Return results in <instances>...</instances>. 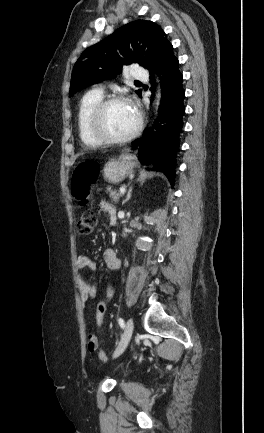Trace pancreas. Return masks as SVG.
Returning <instances> with one entry per match:
<instances>
[{
	"mask_svg": "<svg viewBox=\"0 0 264 433\" xmlns=\"http://www.w3.org/2000/svg\"><path fill=\"white\" fill-rule=\"evenodd\" d=\"M108 191H109V194H110L111 199H112L114 202H118L119 198L122 196V193H120L119 191H116V190H110V189H108Z\"/></svg>",
	"mask_w": 264,
	"mask_h": 433,
	"instance_id": "cf45deb5",
	"label": "pancreas"
}]
</instances>
